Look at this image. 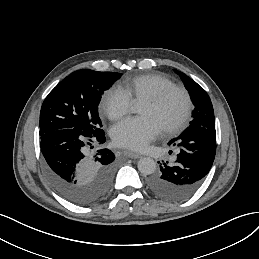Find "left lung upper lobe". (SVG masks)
I'll return each instance as SVG.
<instances>
[{"instance_id":"1","label":"left lung upper lobe","mask_w":259,"mask_h":259,"mask_svg":"<svg viewBox=\"0 0 259 259\" xmlns=\"http://www.w3.org/2000/svg\"><path fill=\"white\" fill-rule=\"evenodd\" d=\"M181 77L194 105L190 126L215 128V118L210 97L194 80L175 70Z\"/></svg>"}]
</instances>
